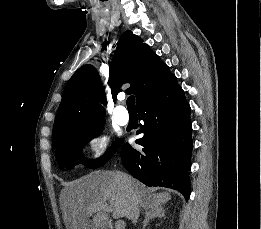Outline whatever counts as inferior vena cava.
<instances>
[{
	"label": "inferior vena cava",
	"mask_w": 261,
	"mask_h": 229,
	"mask_svg": "<svg viewBox=\"0 0 261 229\" xmlns=\"http://www.w3.org/2000/svg\"><path fill=\"white\" fill-rule=\"evenodd\" d=\"M121 177H123V181L125 183V187L127 189V193H130V199H131V211H130V219L133 223V225H136L139 217V203L137 199L136 193H134L131 185V179L127 177V175H124V173H119Z\"/></svg>",
	"instance_id": "602c4592"
}]
</instances>
